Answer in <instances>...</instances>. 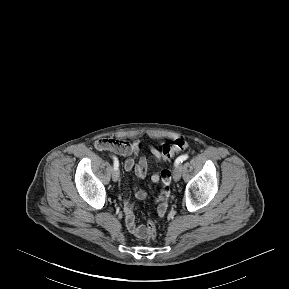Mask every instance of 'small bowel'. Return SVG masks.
Returning a JSON list of instances; mask_svg holds the SVG:
<instances>
[{"label": "small bowel", "mask_w": 289, "mask_h": 289, "mask_svg": "<svg viewBox=\"0 0 289 289\" xmlns=\"http://www.w3.org/2000/svg\"><path fill=\"white\" fill-rule=\"evenodd\" d=\"M96 148L99 150H106L113 152L119 156L127 157L123 163L124 169L126 171H133L137 177L144 178L148 172V162L145 157H140L135 160L132 155H137L141 148V143L139 141L127 142L120 141L116 139H100L95 144ZM149 151L154 158L157 160H165L161 155V150L154 146H149ZM171 172L168 169H162L159 173H155L151 176V182L157 183L161 180L159 186V197L156 203L159 205L157 210V215L159 218H164L165 213L169 208L170 203V191L171 185ZM134 195L136 198L143 200L147 196V191L142 189H135ZM123 204H124V214H125V224L127 229L138 239H146V226L138 225L135 220L134 206L131 201V196L128 193L123 194Z\"/></svg>", "instance_id": "1"}]
</instances>
